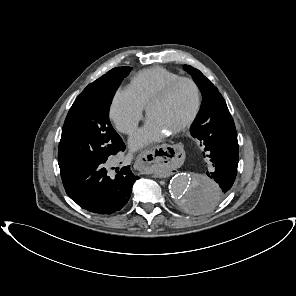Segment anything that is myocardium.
I'll return each instance as SVG.
<instances>
[{"label": "myocardium", "instance_id": "myocardium-1", "mask_svg": "<svg viewBox=\"0 0 296 296\" xmlns=\"http://www.w3.org/2000/svg\"><path fill=\"white\" fill-rule=\"evenodd\" d=\"M185 83L191 85L195 91V106H194V109H193L191 115L187 118V120L185 122H183L180 126H178L176 129H174L171 132V135H176V134H179V133L187 130L196 121V119L200 113V110L202 107V93H201V89H200L199 85L197 84V82L194 81L193 79L187 78V77L178 78V79L174 80L173 82H171L169 85H167L157 95H155L148 102V104L146 106V114L149 117L150 111L154 106L166 101L180 85L185 84Z\"/></svg>", "mask_w": 296, "mask_h": 296}]
</instances>
